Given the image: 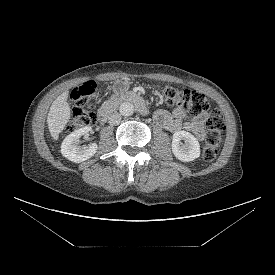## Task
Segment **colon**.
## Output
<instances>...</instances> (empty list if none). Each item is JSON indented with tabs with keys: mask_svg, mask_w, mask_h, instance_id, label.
Listing matches in <instances>:
<instances>
[{
	"mask_svg": "<svg viewBox=\"0 0 275 275\" xmlns=\"http://www.w3.org/2000/svg\"><path fill=\"white\" fill-rule=\"evenodd\" d=\"M95 95L96 84L93 81H87L72 90L70 99L73 102L74 109L68 124V130L73 131L95 122ZM163 100L165 104L182 107L192 115L208 113L203 158L207 161L213 160L219 153L225 131V122L220 110L211 108L206 96L195 90L179 91L173 87H166L163 90Z\"/></svg>",
	"mask_w": 275,
	"mask_h": 275,
	"instance_id": "colon-1",
	"label": "colon"
}]
</instances>
